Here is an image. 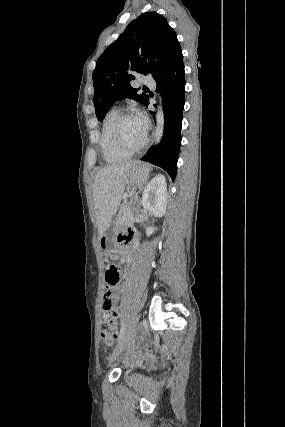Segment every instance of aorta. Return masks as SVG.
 Listing matches in <instances>:
<instances>
[{"mask_svg": "<svg viewBox=\"0 0 285 427\" xmlns=\"http://www.w3.org/2000/svg\"><path fill=\"white\" fill-rule=\"evenodd\" d=\"M164 132V112L162 107V99L159 98V105L156 113V129H155V144H158L163 136Z\"/></svg>", "mask_w": 285, "mask_h": 427, "instance_id": "762f6f07", "label": "aorta"}]
</instances>
